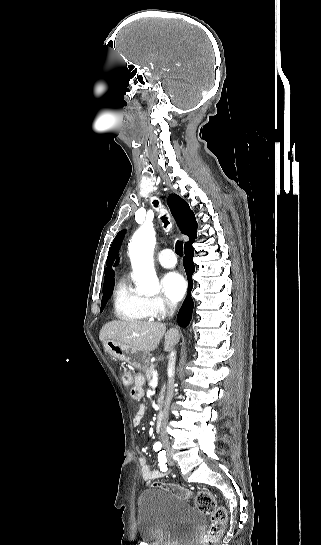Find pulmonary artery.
<instances>
[{
    "mask_svg": "<svg viewBox=\"0 0 321 545\" xmlns=\"http://www.w3.org/2000/svg\"><path fill=\"white\" fill-rule=\"evenodd\" d=\"M157 262L165 268H173L177 264V260L173 259V252L170 249H164L157 253Z\"/></svg>",
    "mask_w": 321,
    "mask_h": 545,
    "instance_id": "e3ab8cb5",
    "label": "pulmonary artery"
}]
</instances>
